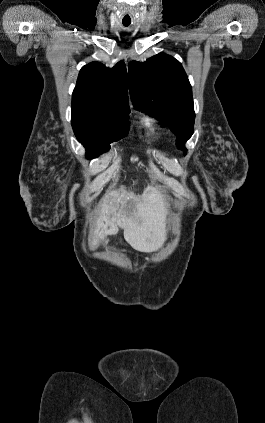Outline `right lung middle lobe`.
Segmentation results:
<instances>
[{
	"instance_id": "obj_1",
	"label": "right lung middle lobe",
	"mask_w": 265,
	"mask_h": 423,
	"mask_svg": "<svg viewBox=\"0 0 265 423\" xmlns=\"http://www.w3.org/2000/svg\"><path fill=\"white\" fill-rule=\"evenodd\" d=\"M72 127L78 141L86 148L88 159L110 149V143L128 135V117L113 121L82 111H72Z\"/></svg>"
}]
</instances>
